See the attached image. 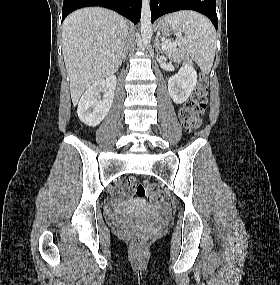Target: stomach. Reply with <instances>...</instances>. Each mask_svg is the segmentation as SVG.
Instances as JSON below:
<instances>
[{"label": "stomach", "instance_id": "obj_1", "mask_svg": "<svg viewBox=\"0 0 280 285\" xmlns=\"http://www.w3.org/2000/svg\"><path fill=\"white\" fill-rule=\"evenodd\" d=\"M158 33L169 36L175 34L174 29L165 20L159 21L156 27Z\"/></svg>", "mask_w": 280, "mask_h": 285}]
</instances>
